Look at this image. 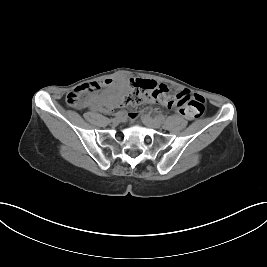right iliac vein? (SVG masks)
<instances>
[{
    "label": "right iliac vein",
    "instance_id": "obj_1",
    "mask_svg": "<svg viewBox=\"0 0 267 267\" xmlns=\"http://www.w3.org/2000/svg\"><path fill=\"white\" fill-rule=\"evenodd\" d=\"M120 121H121V116H117V117L112 119V123H114V124H118Z\"/></svg>",
    "mask_w": 267,
    "mask_h": 267
}]
</instances>
